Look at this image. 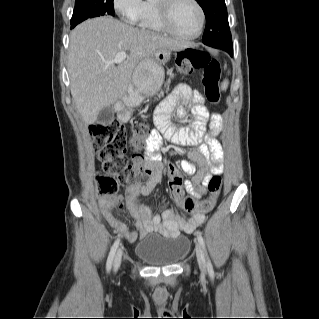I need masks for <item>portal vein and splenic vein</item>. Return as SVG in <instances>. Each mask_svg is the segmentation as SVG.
I'll use <instances>...</instances> for the list:
<instances>
[{
    "label": "portal vein and splenic vein",
    "instance_id": "1",
    "mask_svg": "<svg viewBox=\"0 0 319 319\" xmlns=\"http://www.w3.org/2000/svg\"><path fill=\"white\" fill-rule=\"evenodd\" d=\"M127 57V54L125 51H120L116 54L114 59L111 61L112 63H121L123 62Z\"/></svg>",
    "mask_w": 319,
    "mask_h": 319
}]
</instances>
